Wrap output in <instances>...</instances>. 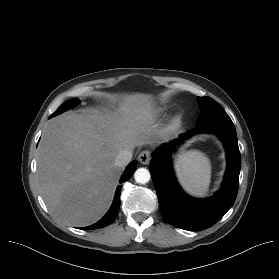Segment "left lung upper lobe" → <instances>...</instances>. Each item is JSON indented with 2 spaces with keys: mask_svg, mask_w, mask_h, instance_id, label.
Segmentation results:
<instances>
[{
  "mask_svg": "<svg viewBox=\"0 0 279 279\" xmlns=\"http://www.w3.org/2000/svg\"><path fill=\"white\" fill-rule=\"evenodd\" d=\"M201 113L197 125L210 122H231L232 120L219 103L210 97H198Z\"/></svg>",
  "mask_w": 279,
  "mask_h": 279,
  "instance_id": "5c2ea615",
  "label": "left lung upper lobe"
}]
</instances>
